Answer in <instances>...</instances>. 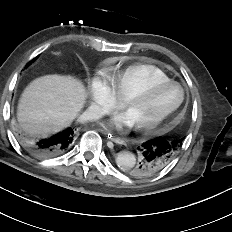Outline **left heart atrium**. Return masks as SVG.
<instances>
[{"label":"left heart atrium","instance_id":"1","mask_svg":"<svg viewBox=\"0 0 232 232\" xmlns=\"http://www.w3.org/2000/svg\"><path fill=\"white\" fill-rule=\"evenodd\" d=\"M109 124L112 127H115L117 129H121L123 127H132L134 126L133 120L131 119L130 115L125 112L119 115H116Z\"/></svg>","mask_w":232,"mask_h":232}]
</instances>
